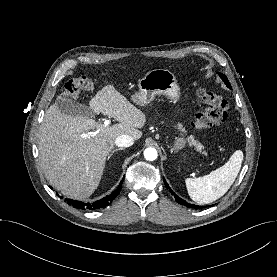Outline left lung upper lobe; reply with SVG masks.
Here are the masks:
<instances>
[{"label": "left lung upper lobe", "mask_w": 277, "mask_h": 277, "mask_svg": "<svg viewBox=\"0 0 277 277\" xmlns=\"http://www.w3.org/2000/svg\"><path fill=\"white\" fill-rule=\"evenodd\" d=\"M219 76L225 82L226 86L231 89V86H230V83H229L227 77L224 74H222V73H219Z\"/></svg>", "instance_id": "1"}]
</instances>
